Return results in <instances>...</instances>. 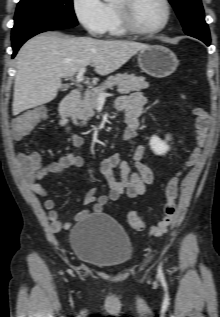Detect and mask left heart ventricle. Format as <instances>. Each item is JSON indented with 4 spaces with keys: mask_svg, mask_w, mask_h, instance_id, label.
Instances as JSON below:
<instances>
[{
    "mask_svg": "<svg viewBox=\"0 0 220 317\" xmlns=\"http://www.w3.org/2000/svg\"><path fill=\"white\" fill-rule=\"evenodd\" d=\"M166 10L161 0H136L132 7V18L137 27L153 29L164 21Z\"/></svg>",
    "mask_w": 220,
    "mask_h": 317,
    "instance_id": "1",
    "label": "left heart ventricle"
}]
</instances>
